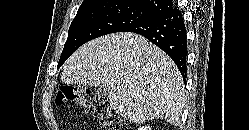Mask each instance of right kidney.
<instances>
[{
	"label": "right kidney",
	"instance_id": "1",
	"mask_svg": "<svg viewBox=\"0 0 249 130\" xmlns=\"http://www.w3.org/2000/svg\"><path fill=\"white\" fill-rule=\"evenodd\" d=\"M138 130H151L150 126H142Z\"/></svg>",
	"mask_w": 249,
	"mask_h": 130
}]
</instances>
